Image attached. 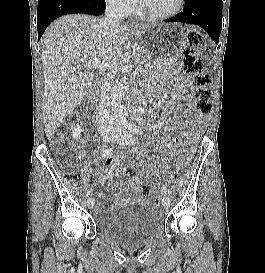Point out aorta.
<instances>
[{"label": "aorta", "instance_id": "762f6f07", "mask_svg": "<svg viewBox=\"0 0 265 273\" xmlns=\"http://www.w3.org/2000/svg\"><path fill=\"white\" fill-rule=\"evenodd\" d=\"M127 78L121 79L112 90L111 94V110L114 120L117 125H122L125 122V115L123 109V95L126 87Z\"/></svg>", "mask_w": 265, "mask_h": 273}]
</instances>
